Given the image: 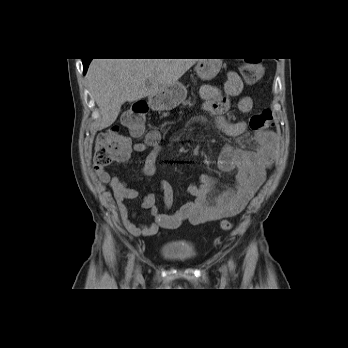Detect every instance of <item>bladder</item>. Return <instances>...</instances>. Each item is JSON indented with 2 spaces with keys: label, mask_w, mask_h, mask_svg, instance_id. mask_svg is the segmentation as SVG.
Listing matches in <instances>:
<instances>
[{
  "label": "bladder",
  "mask_w": 348,
  "mask_h": 348,
  "mask_svg": "<svg viewBox=\"0 0 348 348\" xmlns=\"http://www.w3.org/2000/svg\"><path fill=\"white\" fill-rule=\"evenodd\" d=\"M159 253L168 260L183 262L195 255V246L191 242L169 241L161 245Z\"/></svg>",
  "instance_id": "obj_1"
}]
</instances>
